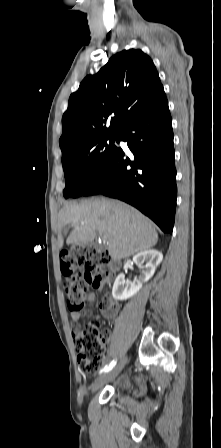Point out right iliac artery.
<instances>
[{
    "label": "right iliac artery",
    "mask_w": 221,
    "mask_h": 448,
    "mask_svg": "<svg viewBox=\"0 0 221 448\" xmlns=\"http://www.w3.org/2000/svg\"><path fill=\"white\" fill-rule=\"evenodd\" d=\"M116 363H117L116 360H113L109 365L105 366L100 373L110 371L116 365Z\"/></svg>",
    "instance_id": "1"
}]
</instances>
